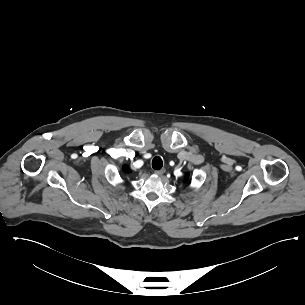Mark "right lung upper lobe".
Listing matches in <instances>:
<instances>
[{"mask_svg": "<svg viewBox=\"0 0 305 305\" xmlns=\"http://www.w3.org/2000/svg\"><path fill=\"white\" fill-rule=\"evenodd\" d=\"M123 170H124L125 172H128V171H129V169H128L127 166H124V167H123Z\"/></svg>", "mask_w": 305, "mask_h": 305, "instance_id": "obj_1", "label": "right lung upper lobe"}]
</instances>
